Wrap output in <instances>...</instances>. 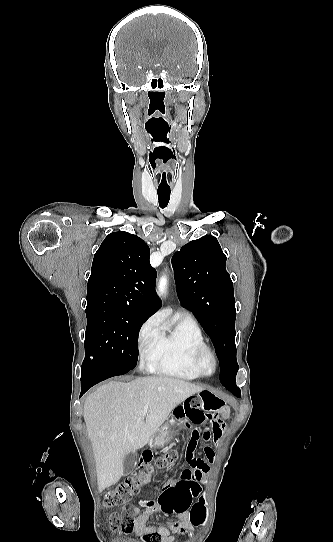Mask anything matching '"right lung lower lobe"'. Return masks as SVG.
<instances>
[{
  "label": "right lung lower lobe",
  "instance_id": "right-lung-lower-lobe-1",
  "mask_svg": "<svg viewBox=\"0 0 333 542\" xmlns=\"http://www.w3.org/2000/svg\"><path fill=\"white\" fill-rule=\"evenodd\" d=\"M125 374L117 368L102 362L83 363L81 369V394L80 397L95 384L117 375Z\"/></svg>",
  "mask_w": 333,
  "mask_h": 542
}]
</instances>
